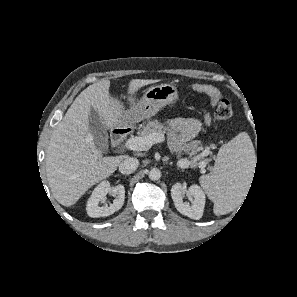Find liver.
<instances>
[{
    "instance_id": "liver-1",
    "label": "liver",
    "mask_w": 297,
    "mask_h": 297,
    "mask_svg": "<svg viewBox=\"0 0 297 297\" xmlns=\"http://www.w3.org/2000/svg\"><path fill=\"white\" fill-rule=\"evenodd\" d=\"M157 80L133 79L129 83L128 101L138 89ZM110 81L88 86L72 103L62 121L54 128L46 155V172L54 198L63 206L74 205L93 185L109 177L125 156L103 157L89 130V115L94 108L106 129L117 128L127 116L117 97L109 93Z\"/></svg>"
}]
</instances>
